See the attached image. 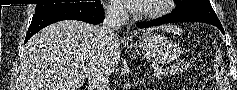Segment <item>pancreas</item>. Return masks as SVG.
Wrapping results in <instances>:
<instances>
[{"mask_svg":"<svg viewBox=\"0 0 237 90\" xmlns=\"http://www.w3.org/2000/svg\"><path fill=\"white\" fill-rule=\"evenodd\" d=\"M188 69H190V64H174L172 68H170V65H167V70L165 72H170V74H181V72H188Z\"/></svg>","mask_w":237,"mask_h":90,"instance_id":"1","label":"pancreas"}]
</instances>
